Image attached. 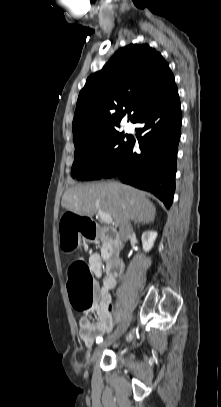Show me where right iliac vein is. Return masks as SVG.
Listing matches in <instances>:
<instances>
[{"label":"right iliac vein","mask_w":221,"mask_h":407,"mask_svg":"<svg viewBox=\"0 0 221 407\" xmlns=\"http://www.w3.org/2000/svg\"><path fill=\"white\" fill-rule=\"evenodd\" d=\"M131 318H132V315H131V314H128V315L125 317V319H124V321H123V323H122L120 329H118L114 334L110 335V336L105 340V342L100 343V344L98 345V347L95 349V351H94V353H93V356H92V359H91V361H92L93 363L99 358V356L101 355V353H102V351H103V349H104L105 347L110 346L113 342L116 341V339H117L118 337H120L122 334L125 333V331L127 330L128 326H129V324H130Z\"/></svg>","instance_id":"obj_1"}]
</instances>
